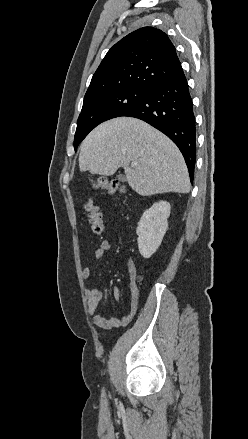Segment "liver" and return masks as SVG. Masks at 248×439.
Masks as SVG:
<instances>
[{"mask_svg":"<svg viewBox=\"0 0 248 439\" xmlns=\"http://www.w3.org/2000/svg\"><path fill=\"white\" fill-rule=\"evenodd\" d=\"M136 162V167L130 163ZM123 167L130 187L141 196L188 193L184 158L163 133L144 121L117 117L92 130L80 147L81 172L110 176Z\"/></svg>","mask_w":248,"mask_h":439,"instance_id":"liver-1","label":"liver"}]
</instances>
